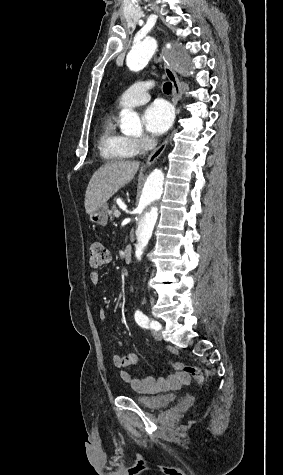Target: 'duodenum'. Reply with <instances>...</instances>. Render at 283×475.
<instances>
[{"label": "duodenum", "mask_w": 283, "mask_h": 475, "mask_svg": "<svg viewBox=\"0 0 283 475\" xmlns=\"http://www.w3.org/2000/svg\"><path fill=\"white\" fill-rule=\"evenodd\" d=\"M133 248L131 245H127L123 251V259L126 263H129L132 259Z\"/></svg>", "instance_id": "1"}]
</instances>
